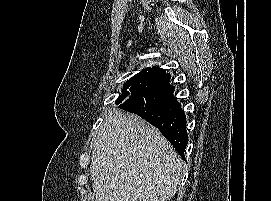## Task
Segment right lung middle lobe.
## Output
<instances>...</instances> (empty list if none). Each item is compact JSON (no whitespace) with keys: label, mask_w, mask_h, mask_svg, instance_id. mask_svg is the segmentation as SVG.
Wrapping results in <instances>:
<instances>
[{"label":"right lung middle lobe","mask_w":271,"mask_h":201,"mask_svg":"<svg viewBox=\"0 0 271 201\" xmlns=\"http://www.w3.org/2000/svg\"><path fill=\"white\" fill-rule=\"evenodd\" d=\"M152 74L150 72L141 71L130 78L123 86L122 94L116 101V105H120L127 96H134L144 92L146 86L150 82Z\"/></svg>","instance_id":"right-lung-middle-lobe-1"}]
</instances>
